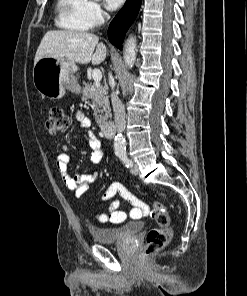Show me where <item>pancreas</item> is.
I'll return each instance as SVG.
<instances>
[{
    "instance_id": "1",
    "label": "pancreas",
    "mask_w": 247,
    "mask_h": 296,
    "mask_svg": "<svg viewBox=\"0 0 247 296\" xmlns=\"http://www.w3.org/2000/svg\"><path fill=\"white\" fill-rule=\"evenodd\" d=\"M82 99H90L93 104L94 117L97 124H102L110 117L107 87L99 83L88 84L83 82Z\"/></svg>"
}]
</instances>
